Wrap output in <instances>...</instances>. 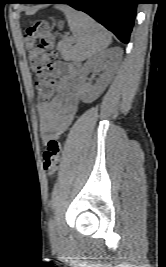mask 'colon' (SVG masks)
I'll use <instances>...</instances> for the list:
<instances>
[{
  "label": "colon",
  "mask_w": 166,
  "mask_h": 267,
  "mask_svg": "<svg viewBox=\"0 0 166 267\" xmlns=\"http://www.w3.org/2000/svg\"><path fill=\"white\" fill-rule=\"evenodd\" d=\"M56 33L44 20H37L27 29L24 37L25 47L32 70L38 75L35 90L42 103L54 97V82L51 77V63L55 58L53 47ZM62 154V143L59 139L49 140L43 153V170L47 176H53L59 167Z\"/></svg>",
  "instance_id": "obj_1"
}]
</instances>
